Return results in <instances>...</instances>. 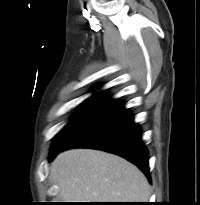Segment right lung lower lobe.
<instances>
[{
    "label": "right lung lower lobe",
    "instance_id": "98d812e1",
    "mask_svg": "<svg viewBox=\"0 0 200 205\" xmlns=\"http://www.w3.org/2000/svg\"><path fill=\"white\" fill-rule=\"evenodd\" d=\"M141 129L133 122V116L124 103L118 101L111 109L83 129L69 142L49 155L52 161L65 149L86 147L104 150L124 157L139 167L151 180L148 151L141 140Z\"/></svg>",
    "mask_w": 200,
    "mask_h": 205
}]
</instances>
